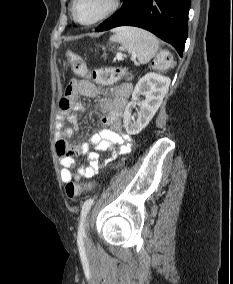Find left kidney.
Returning a JSON list of instances; mask_svg holds the SVG:
<instances>
[{"label": "left kidney", "mask_w": 233, "mask_h": 284, "mask_svg": "<svg viewBox=\"0 0 233 284\" xmlns=\"http://www.w3.org/2000/svg\"><path fill=\"white\" fill-rule=\"evenodd\" d=\"M169 85V77L154 72L147 73L138 81L132 93V102L128 103L123 115L128 134L136 135L149 124L162 104ZM142 95L145 96L144 100H140ZM136 104L139 111L135 114L132 110Z\"/></svg>", "instance_id": "obj_1"}]
</instances>
